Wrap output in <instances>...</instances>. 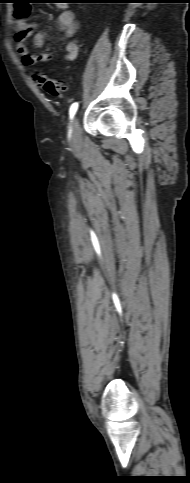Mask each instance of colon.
Listing matches in <instances>:
<instances>
[{
  "label": "colon",
  "instance_id": "5ec220e1",
  "mask_svg": "<svg viewBox=\"0 0 190 483\" xmlns=\"http://www.w3.org/2000/svg\"><path fill=\"white\" fill-rule=\"evenodd\" d=\"M29 4L24 3L20 5L16 10L18 18H25L27 16V9ZM35 79L40 87H42L47 93L55 97H61L65 91V84L62 80L51 77L46 74L36 73Z\"/></svg>",
  "mask_w": 190,
  "mask_h": 483
}]
</instances>
